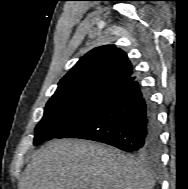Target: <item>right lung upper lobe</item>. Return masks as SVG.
Here are the masks:
<instances>
[{
    "instance_id": "right-lung-upper-lobe-1",
    "label": "right lung upper lobe",
    "mask_w": 188,
    "mask_h": 189,
    "mask_svg": "<svg viewBox=\"0 0 188 189\" xmlns=\"http://www.w3.org/2000/svg\"><path fill=\"white\" fill-rule=\"evenodd\" d=\"M124 51L105 45L89 51L60 80L55 94L86 90L112 92L135 80ZM54 94V95H55Z\"/></svg>"
}]
</instances>
